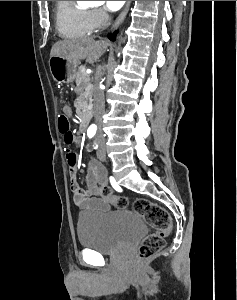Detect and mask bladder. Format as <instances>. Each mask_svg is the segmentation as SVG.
<instances>
[{
  "label": "bladder",
  "instance_id": "obj_1",
  "mask_svg": "<svg viewBox=\"0 0 237 300\" xmlns=\"http://www.w3.org/2000/svg\"><path fill=\"white\" fill-rule=\"evenodd\" d=\"M145 231L141 216L128 210H117L108 215L83 214L77 224L80 245L101 254L124 250Z\"/></svg>",
  "mask_w": 237,
  "mask_h": 300
}]
</instances>
